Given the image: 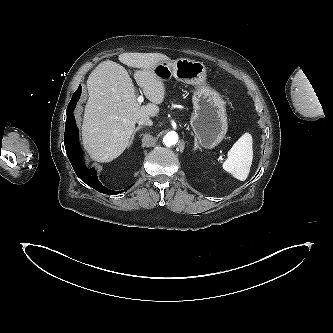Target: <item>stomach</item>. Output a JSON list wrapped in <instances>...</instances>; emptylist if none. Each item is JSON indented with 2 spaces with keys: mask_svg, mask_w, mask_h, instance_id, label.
<instances>
[{
  "mask_svg": "<svg viewBox=\"0 0 333 333\" xmlns=\"http://www.w3.org/2000/svg\"><path fill=\"white\" fill-rule=\"evenodd\" d=\"M152 71L162 81L173 76L183 83L196 85L190 125L202 147L212 149L217 146L228 129L227 114L221 95L206 83L205 65L200 61L180 58L161 61Z\"/></svg>",
  "mask_w": 333,
  "mask_h": 333,
  "instance_id": "1",
  "label": "stomach"
}]
</instances>
